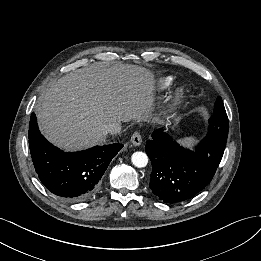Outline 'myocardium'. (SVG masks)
<instances>
[{
  "label": "myocardium",
  "instance_id": "1",
  "mask_svg": "<svg viewBox=\"0 0 261 261\" xmlns=\"http://www.w3.org/2000/svg\"><path fill=\"white\" fill-rule=\"evenodd\" d=\"M183 91H184L183 87L179 88L177 91V97H180L182 95Z\"/></svg>",
  "mask_w": 261,
  "mask_h": 261
}]
</instances>
